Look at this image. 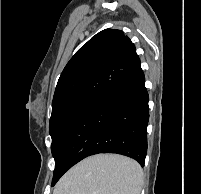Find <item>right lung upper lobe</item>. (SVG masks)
Here are the masks:
<instances>
[{
	"mask_svg": "<svg viewBox=\"0 0 201 194\" xmlns=\"http://www.w3.org/2000/svg\"><path fill=\"white\" fill-rule=\"evenodd\" d=\"M139 66L135 46L122 31L102 30L65 66L55 89L52 108L72 98L98 96Z\"/></svg>",
	"mask_w": 201,
	"mask_h": 194,
	"instance_id": "1",
	"label": "right lung upper lobe"
}]
</instances>
